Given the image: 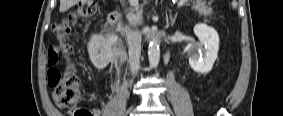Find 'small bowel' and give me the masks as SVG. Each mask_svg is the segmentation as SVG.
<instances>
[{"label": "small bowel", "mask_w": 283, "mask_h": 116, "mask_svg": "<svg viewBox=\"0 0 283 116\" xmlns=\"http://www.w3.org/2000/svg\"><path fill=\"white\" fill-rule=\"evenodd\" d=\"M56 60H57L56 56L50 50L49 54H48V63H49V65H53L56 62ZM58 74H59V72L57 70H55V69L48 70V75L49 76H56ZM91 112H92L91 116H100V115H102V111L100 109H92ZM71 115H72V113H71Z\"/></svg>", "instance_id": "small-bowel-1"}]
</instances>
